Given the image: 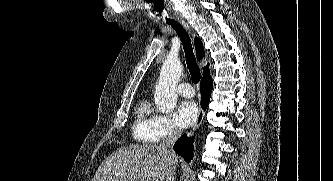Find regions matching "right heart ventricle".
<instances>
[{
	"label": "right heart ventricle",
	"instance_id": "right-heart-ventricle-1",
	"mask_svg": "<svg viewBox=\"0 0 333 181\" xmlns=\"http://www.w3.org/2000/svg\"><path fill=\"white\" fill-rule=\"evenodd\" d=\"M158 115L149 100H142L135 110V122L133 125V136L137 141L155 143L157 138L154 126Z\"/></svg>",
	"mask_w": 333,
	"mask_h": 181
}]
</instances>
